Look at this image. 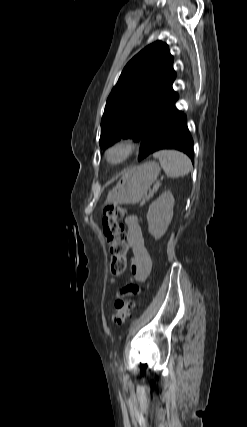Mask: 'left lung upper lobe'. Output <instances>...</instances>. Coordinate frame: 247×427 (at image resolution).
Wrapping results in <instances>:
<instances>
[{
    "mask_svg": "<svg viewBox=\"0 0 247 427\" xmlns=\"http://www.w3.org/2000/svg\"><path fill=\"white\" fill-rule=\"evenodd\" d=\"M166 43L156 41L135 55L112 89L101 120L100 147L121 138L138 141L150 123L173 104L176 74Z\"/></svg>",
    "mask_w": 247,
    "mask_h": 427,
    "instance_id": "5c2ea615",
    "label": "left lung upper lobe"
}]
</instances>
